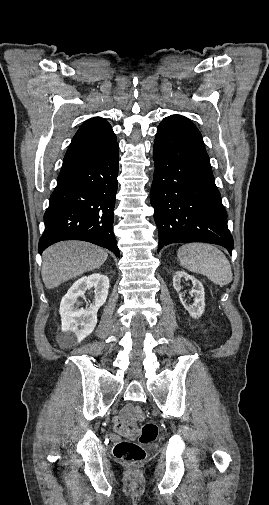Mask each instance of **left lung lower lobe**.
Returning <instances> with one entry per match:
<instances>
[{
    "mask_svg": "<svg viewBox=\"0 0 269 505\" xmlns=\"http://www.w3.org/2000/svg\"><path fill=\"white\" fill-rule=\"evenodd\" d=\"M150 201L160 250L171 243L207 242L233 250L227 214L202 136L186 117L163 119L154 142Z\"/></svg>",
    "mask_w": 269,
    "mask_h": 505,
    "instance_id": "1",
    "label": "left lung lower lobe"
}]
</instances>
